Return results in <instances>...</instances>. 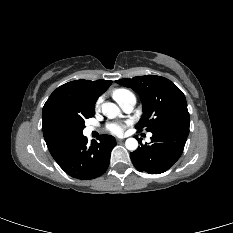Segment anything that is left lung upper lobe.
<instances>
[{"label":"left lung upper lobe","instance_id":"1","mask_svg":"<svg viewBox=\"0 0 233 233\" xmlns=\"http://www.w3.org/2000/svg\"><path fill=\"white\" fill-rule=\"evenodd\" d=\"M118 84L137 92L143 105V115L136 125L148 132L189 125L187 102L182 91L167 78L156 75L120 79Z\"/></svg>","mask_w":233,"mask_h":233}]
</instances>
